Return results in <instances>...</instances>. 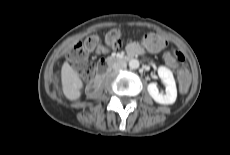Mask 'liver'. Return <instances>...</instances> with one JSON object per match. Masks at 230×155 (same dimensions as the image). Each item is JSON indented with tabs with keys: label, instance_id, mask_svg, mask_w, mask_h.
<instances>
[{
	"label": "liver",
	"instance_id": "6515ba94",
	"mask_svg": "<svg viewBox=\"0 0 230 155\" xmlns=\"http://www.w3.org/2000/svg\"><path fill=\"white\" fill-rule=\"evenodd\" d=\"M61 82L62 91L66 98L69 100H77L80 98V90L83 87V82L68 62H64L62 65Z\"/></svg>",
	"mask_w": 230,
	"mask_h": 155
}]
</instances>
